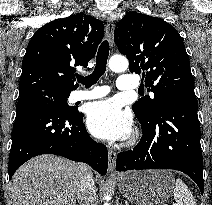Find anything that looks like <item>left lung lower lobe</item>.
<instances>
[{"label": "left lung lower lobe", "instance_id": "0a47b994", "mask_svg": "<svg viewBox=\"0 0 212 205\" xmlns=\"http://www.w3.org/2000/svg\"><path fill=\"white\" fill-rule=\"evenodd\" d=\"M196 98L167 104L150 122L141 123L142 138L133 149L119 153L118 171L174 169L191 177L203 194V159Z\"/></svg>", "mask_w": 212, "mask_h": 205}]
</instances>
